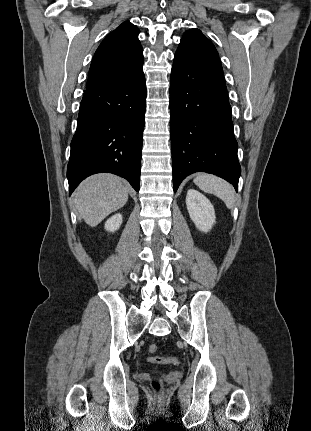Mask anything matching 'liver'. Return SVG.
<instances>
[{
    "label": "liver",
    "instance_id": "1",
    "mask_svg": "<svg viewBox=\"0 0 311 431\" xmlns=\"http://www.w3.org/2000/svg\"><path fill=\"white\" fill-rule=\"evenodd\" d=\"M129 186L113 174H96L84 180L74 194V204L84 221L95 227L111 212L123 208Z\"/></svg>",
    "mask_w": 311,
    "mask_h": 431
}]
</instances>
